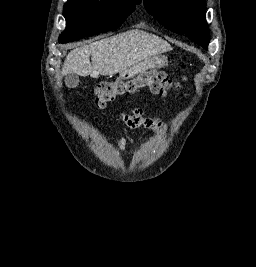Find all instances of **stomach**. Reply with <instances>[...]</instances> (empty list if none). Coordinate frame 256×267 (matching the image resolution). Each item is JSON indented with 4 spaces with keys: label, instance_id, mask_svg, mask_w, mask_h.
<instances>
[{
    "label": "stomach",
    "instance_id": "0dacf381",
    "mask_svg": "<svg viewBox=\"0 0 256 267\" xmlns=\"http://www.w3.org/2000/svg\"><path fill=\"white\" fill-rule=\"evenodd\" d=\"M136 67H167L166 58L163 62H136Z\"/></svg>",
    "mask_w": 256,
    "mask_h": 267
}]
</instances>
